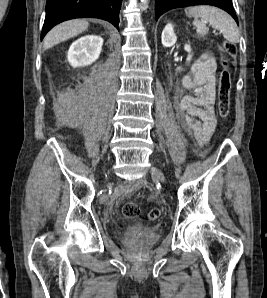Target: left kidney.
Wrapping results in <instances>:
<instances>
[{"label": "left kidney", "mask_w": 267, "mask_h": 298, "mask_svg": "<svg viewBox=\"0 0 267 298\" xmlns=\"http://www.w3.org/2000/svg\"><path fill=\"white\" fill-rule=\"evenodd\" d=\"M162 44L164 47H172L176 41H177V36L175 35L174 32V27L172 24H167L165 28L162 31V36H161ZM184 49L186 52L189 53L187 57V61L189 62L192 58L190 55L191 53V47L189 44H185ZM177 70H181V68H178Z\"/></svg>", "instance_id": "5707ae66"}]
</instances>
